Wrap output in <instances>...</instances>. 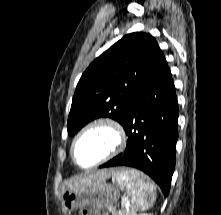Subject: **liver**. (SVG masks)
<instances>
[{"label": "liver", "mask_w": 221, "mask_h": 215, "mask_svg": "<svg viewBox=\"0 0 221 215\" xmlns=\"http://www.w3.org/2000/svg\"><path fill=\"white\" fill-rule=\"evenodd\" d=\"M114 174L112 169H104L97 172L87 173L81 176L70 178L62 187V190L67 189H83L91 187L101 182H105L111 175Z\"/></svg>", "instance_id": "liver-1"}]
</instances>
